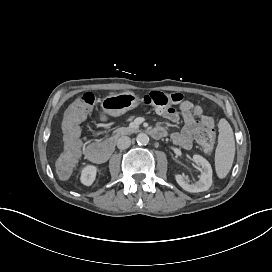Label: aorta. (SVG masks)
<instances>
[{"instance_id": "1", "label": "aorta", "mask_w": 272, "mask_h": 272, "mask_svg": "<svg viewBox=\"0 0 272 272\" xmlns=\"http://www.w3.org/2000/svg\"><path fill=\"white\" fill-rule=\"evenodd\" d=\"M136 141L140 145H146L149 142V137L145 133H139L136 137Z\"/></svg>"}]
</instances>
